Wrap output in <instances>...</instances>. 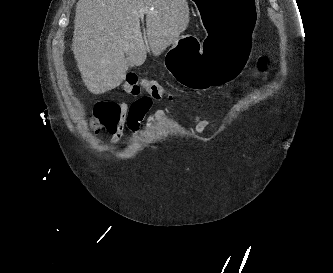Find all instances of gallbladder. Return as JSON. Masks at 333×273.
<instances>
[{"instance_id":"gallbladder-1","label":"gallbladder","mask_w":333,"mask_h":273,"mask_svg":"<svg viewBox=\"0 0 333 273\" xmlns=\"http://www.w3.org/2000/svg\"><path fill=\"white\" fill-rule=\"evenodd\" d=\"M127 66H128V67H132V66H133V64H132V63L130 62V60H128V59H127Z\"/></svg>"}]
</instances>
